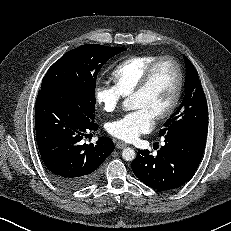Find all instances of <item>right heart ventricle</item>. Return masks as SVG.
I'll list each match as a JSON object with an SVG mask.
<instances>
[{
    "mask_svg": "<svg viewBox=\"0 0 231 231\" xmlns=\"http://www.w3.org/2000/svg\"><path fill=\"white\" fill-rule=\"evenodd\" d=\"M157 55H140L126 59L112 72L115 86L123 96H130L138 85L145 69Z\"/></svg>",
    "mask_w": 231,
    "mask_h": 231,
    "instance_id": "obj_1",
    "label": "right heart ventricle"
}]
</instances>
